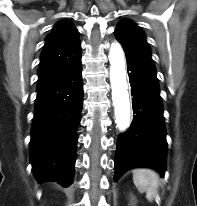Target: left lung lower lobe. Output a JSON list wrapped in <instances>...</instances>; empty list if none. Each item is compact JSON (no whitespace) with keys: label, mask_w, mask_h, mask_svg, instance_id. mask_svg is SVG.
Here are the masks:
<instances>
[{"label":"left lung lower lobe","mask_w":197,"mask_h":206,"mask_svg":"<svg viewBox=\"0 0 197 206\" xmlns=\"http://www.w3.org/2000/svg\"><path fill=\"white\" fill-rule=\"evenodd\" d=\"M127 69L135 115L129 130L117 140L115 181L131 168L149 167L161 175L166 170V129L158 79L129 59Z\"/></svg>","instance_id":"obj_1"}]
</instances>
